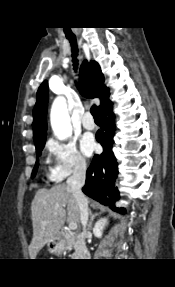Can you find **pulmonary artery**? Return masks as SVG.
Masks as SVG:
<instances>
[{"label": "pulmonary artery", "mask_w": 175, "mask_h": 287, "mask_svg": "<svg viewBox=\"0 0 175 287\" xmlns=\"http://www.w3.org/2000/svg\"><path fill=\"white\" fill-rule=\"evenodd\" d=\"M82 125L86 129H94L95 122L93 120V117L90 113H86L82 118Z\"/></svg>", "instance_id": "e3ab8cb5"}]
</instances>
